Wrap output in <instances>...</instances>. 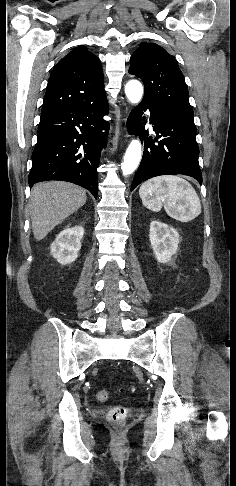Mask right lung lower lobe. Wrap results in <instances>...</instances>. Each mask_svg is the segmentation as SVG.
I'll return each mask as SVG.
<instances>
[{"instance_id": "right-lung-lower-lobe-1", "label": "right lung lower lobe", "mask_w": 236, "mask_h": 486, "mask_svg": "<svg viewBox=\"0 0 236 486\" xmlns=\"http://www.w3.org/2000/svg\"><path fill=\"white\" fill-rule=\"evenodd\" d=\"M106 99L41 114L38 139L32 153L29 185L41 181H68L88 189L97 198V167L106 144L109 124Z\"/></svg>"}]
</instances>
